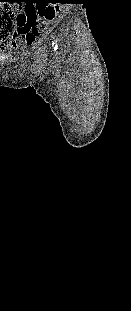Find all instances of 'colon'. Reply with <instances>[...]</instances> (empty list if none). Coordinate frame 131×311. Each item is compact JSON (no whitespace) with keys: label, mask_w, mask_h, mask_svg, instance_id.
Segmentation results:
<instances>
[{"label":"colon","mask_w":131,"mask_h":311,"mask_svg":"<svg viewBox=\"0 0 131 311\" xmlns=\"http://www.w3.org/2000/svg\"><path fill=\"white\" fill-rule=\"evenodd\" d=\"M32 19L31 16L23 14H17L8 8L0 7V32L4 30L10 31L19 21L29 22Z\"/></svg>","instance_id":"5ec220e1"}]
</instances>
